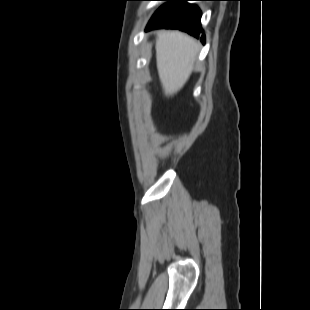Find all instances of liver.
I'll return each mask as SVG.
<instances>
[{"instance_id": "obj_1", "label": "liver", "mask_w": 310, "mask_h": 310, "mask_svg": "<svg viewBox=\"0 0 310 310\" xmlns=\"http://www.w3.org/2000/svg\"><path fill=\"white\" fill-rule=\"evenodd\" d=\"M198 43L179 31H163L156 44L157 68L165 94L179 91L189 78Z\"/></svg>"}]
</instances>
